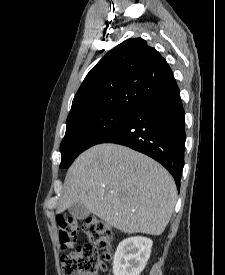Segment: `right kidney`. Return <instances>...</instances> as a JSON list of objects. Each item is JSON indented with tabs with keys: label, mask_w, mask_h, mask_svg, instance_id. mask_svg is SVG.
Wrapping results in <instances>:
<instances>
[{
	"label": "right kidney",
	"mask_w": 225,
	"mask_h": 275,
	"mask_svg": "<svg viewBox=\"0 0 225 275\" xmlns=\"http://www.w3.org/2000/svg\"><path fill=\"white\" fill-rule=\"evenodd\" d=\"M152 240L142 236L121 241L113 259L114 275H140L151 254Z\"/></svg>",
	"instance_id": "obj_1"
}]
</instances>
